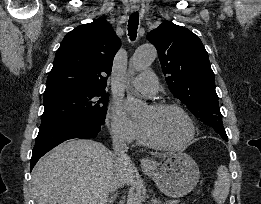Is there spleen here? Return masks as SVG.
I'll use <instances>...</instances> for the list:
<instances>
[{
	"instance_id": "1",
	"label": "spleen",
	"mask_w": 261,
	"mask_h": 204,
	"mask_svg": "<svg viewBox=\"0 0 261 204\" xmlns=\"http://www.w3.org/2000/svg\"><path fill=\"white\" fill-rule=\"evenodd\" d=\"M230 175L226 166L220 165L217 170V180L214 184L212 197L218 204H223L229 194Z\"/></svg>"
}]
</instances>
